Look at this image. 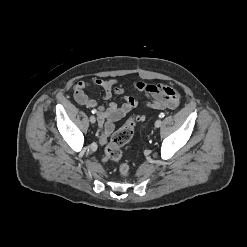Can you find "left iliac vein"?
<instances>
[{"mask_svg": "<svg viewBox=\"0 0 247 247\" xmlns=\"http://www.w3.org/2000/svg\"><path fill=\"white\" fill-rule=\"evenodd\" d=\"M161 124H162V121H161L160 119H158V120H156V122H155V127H156V128H159V127L161 126Z\"/></svg>", "mask_w": 247, "mask_h": 247, "instance_id": "obj_1", "label": "left iliac vein"}]
</instances>
